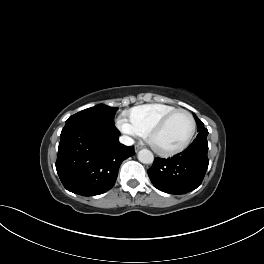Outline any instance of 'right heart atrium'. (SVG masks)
I'll list each match as a JSON object with an SVG mask.
<instances>
[{"label": "right heart atrium", "mask_w": 264, "mask_h": 264, "mask_svg": "<svg viewBox=\"0 0 264 264\" xmlns=\"http://www.w3.org/2000/svg\"><path fill=\"white\" fill-rule=\"evenodd\" d=\"M117 127L119 130L127 135L130 138L138 137L140 136L138 131L135 129V127L132 125V123L127 119L126 116L121 115L117 120Z\"/></svg>", "instance_id": "obj_1"}]
</instances>
